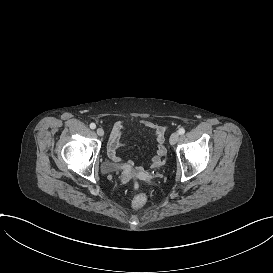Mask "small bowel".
<instances>
[{
	"label": "small bowel",
	"mask_w": 273,
	"mask_h": 273,
	"mask_svg": "<svg viewBox=\"0 0 273 273\" xmlns=\"http://www.w3.org/2000/svg\"><path fill=\"white\" fill-rule=\"evenodd\" d=\"M144 125L149 129H153V132L155 134V140L157 143H159L157 154L152 162V166L154 168H158L160 167V165H164L167 162L166 157L168 155V152L165 148L166 144L164 143L166 140L165 130L162 126L160 125L156 126L154 123L149 121L145 122ZM124 128H125L124 122L118 121L113 124L108 142V156L113 162L120 164L122 168L126 170L127 173L136 172L138 174H142L143 171L142 167L135 166V164L131 161L125 163L121 162L122 159L118 153V150L122 146L121 136Z\"/></svg>",
	"instance_id": "obj_1"
}]
</instances>
